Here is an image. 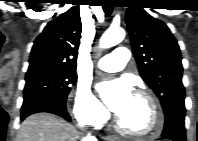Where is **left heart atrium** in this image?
<instances>
[{
	"label": "left heart atrium",
	"mask_w": 198,
	"mask_h": 141,
	"mask_svg": "<svg viewBox=\"0 0 198 141\" xmlns=\"http://www.w3.org/2000/svg\"><path fill=\"white\" fill-rule=\"evenodd\" d=\"M97 90L108 108L117 115L125 108L132 97L131 85L125 79L101 82Z\"/></svg>",
	"instance_id": "1"
}]
</instances>
